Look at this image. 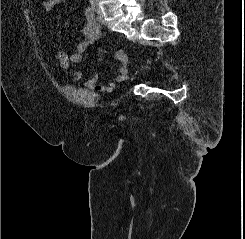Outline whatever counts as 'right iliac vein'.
<instances>
[{
    "label": "right iliac vein",
    "instance_id": "obj_1",
    "mask_svg": "<svg viewBox=\"0 0 245 239\" xmlns=\"http://www.w3.org/2000/svg\"><path fill=\"white\" fill-rule=\"evenodd\" d=\"M94 8H95V10H96L99 14H101V11H100V9H99L98 7H95V6H94Z\"/></svg>",
    "mask_w": 245,
    "mask_h": 239
}]
</instances>
